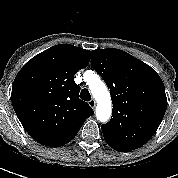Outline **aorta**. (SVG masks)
I'll return each instance as SVG.
<instances>
[{"mask_svg":"<svg viewBox=\"0 0 178 178\" xmlns=\"http://www.w3.org/2000/svg\"><path fill=\"white\" fill-rule=\"evenodd\" d=\"M89 89L97 101L96 117L100 122H107L112 112L110 93L98 76H92L87 82Z\"/></svg>","mask_w":178,"mask_h":178,"instance_id":"obj_1","label":"aorta"}]
</instances>
